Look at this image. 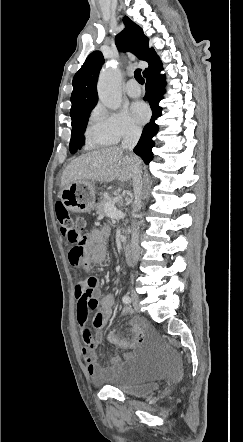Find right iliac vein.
Masks as SVG:
<instances>
[{"mask_svg":"<svg viewBox=\"0 0 243 442\" xmlns=\"http://www.w3.org/2000/svg\"><path fill=\"white\" fill-rule=\"evenodd\" d=\"M131 301L136 309L140 308V298L134 289H130Z\"/></svg>","mask_w":243,"mask_h":442,"instance_id":"63e3f726","label":"right iliac vein"}]
</instances>
